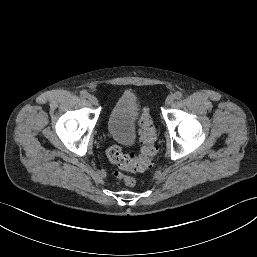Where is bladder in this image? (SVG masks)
Wrapping results in <instances>:
<instances>
[{
    "mask_svg": "<svg viewBox=\"0 0 257 257\" xmlns=\"http://www.w3.org/2000/svg\"><path fill=\"white\" fill-rule=\"evenodd\" d=\"M141 108L139 97L133 92L121 94L107 118L106 128L110 136L120 143L135 139V121Z\"/></svg>",
    "mask_w": 257,
    "mask_h": 257,
    "instance_id": "1",
    "label": "bladder"
}]
</instances>
